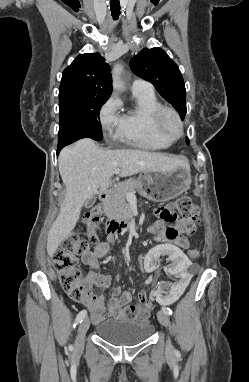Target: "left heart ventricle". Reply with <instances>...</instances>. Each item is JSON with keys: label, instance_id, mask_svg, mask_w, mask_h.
I'll use <instances>...</instances> for the list:
<instances>
[{"label": "left heart ventricle", "instance_id": "obj_1", "mask_svg": "<svg viewBox=\"0 0 249 382\" xmlns=\"http://www.w3.org/2000/svg\"><path fill=\"white\" fill-rule=\"evenodd\" d=\"M166 123H167V127L169 128L171 132L176 133L178 131V125L175 119H173L172 117H169Z\"/></svg>", "mask_w": 249, "mask_h": 382}]
</instances>
